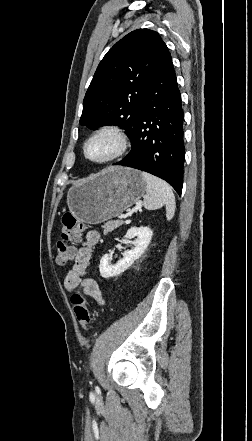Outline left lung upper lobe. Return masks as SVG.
I'll return each mask as SVG.
<instances>
[{
	"instance_id": "5c2ea615",
	"label": "left lung upper lobe",
	"mask_w": 252,
	"mask_h": 441,
	"mask_svg": "<svg viewBox=\"0 0 252 441\" xmlns=\"http://www.w3.org/2000/svg\"><path fill=\"white\" fill-rule=\"evenodd\" d=\"M164 44L149 29L134 30L119 40L97 67L80 124L90 128L117 125L132 139Z\"/></svg>"
}]
</instances>
